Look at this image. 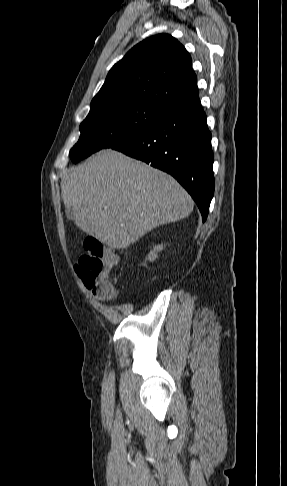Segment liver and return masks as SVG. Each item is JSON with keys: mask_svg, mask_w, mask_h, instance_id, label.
<instances>
[{"mask_svg": "<svg viewBox=\"0 0 287 486\" xmlns=\"http://www.w3.org/2000/svg\"><path fill=\"white\" fill-rule=\"evenodd\" d=\"M61 190L75 225L114 249L185 219L194 207L172 176L111 149L65 171Z\"/></svg>", "mask_w": 287, "mask_h": 486, "instance_id": "obj_1", "label": "liver"}]
</instances>
